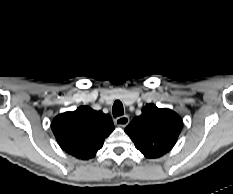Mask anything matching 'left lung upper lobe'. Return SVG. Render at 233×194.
Listing matches in <instances>:
<instances>
[{
    "label": "left lung upper lobe",
    "instance_id": "1",
    "mask_svg": "<svg viewBox=\"0 0 233 194\" xmlns=\"http://www.w3.org/2000/svg\"><path fill=\"white\" fill-rule=\"evenodd\" d=\"M181 127L182 120L175 112L147 104L125 132L145 157L158 158L173 148Z\"/></svg>",
    "mask_w": 233,
    "mask_h": 194
}]
</instances>
